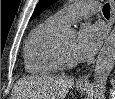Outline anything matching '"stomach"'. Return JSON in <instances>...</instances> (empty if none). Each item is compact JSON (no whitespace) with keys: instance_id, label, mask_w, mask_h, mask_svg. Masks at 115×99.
Segmentation results:
<instances>
[{"instance_id":"obj_1","label":"stomach","mask_w":115,"mask_h":99,"mask_svg":"<svg viewBox=\"0 0 115 99\" xmlns=\"http://www.w3.org/2000/svg\"><path fill=\"white\" fill-rule=\"evenodd\" d=\"M85 86L84 85H80L79 88H84Z\"/></svg>"}]
</instances>
